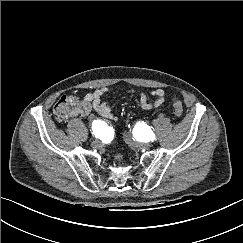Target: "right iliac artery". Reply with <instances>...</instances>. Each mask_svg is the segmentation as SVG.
<instances>
[{"label": "right iliac artery", "mask_w": 243, "mask_h": 243, "mask_svg": "<svg viewBox=\"0 0 243 243\" xmlns=\"http://www.w3.org/2000/svg\"><path fill=\"white\" fill-rule=\"evenodd\" d=\"M92 128L95 137L99 138L102 135L101 133L104 131V128H106V124L102 123L101 121H94Z\"/></svg>", "instance_id": "obj_1"}]
</instances>
